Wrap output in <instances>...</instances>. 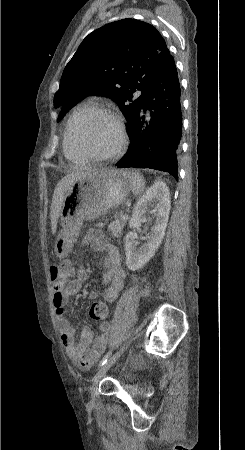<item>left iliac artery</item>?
I'll use <instances>...</instances> for the list:
<instances>
[{"label":"left iliac artery","instance_id":"1","mask_svg":"<svg viewBox=\"0 0 245 450\" xmlns=\"http://www.w3.org/2000/svg\"><path fill=\"white\" fill-rule=\"evenodd\" d=\"M112 354V351H109L104 357L103 359L100 361L99 363V367L103 366L106 362L107 359L110 357V355Z\"/></svg>","mask_w":245,"mask_h":450}]
</instances>
